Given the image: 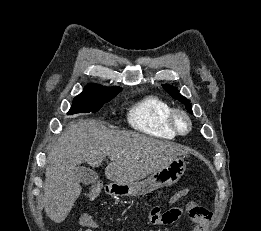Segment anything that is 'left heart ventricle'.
Returning <instances> with one entry per match:
<instances>
[{"label":"left heart ventricle","instance_id":"1","mask_svg":"<svg viewBox=\"0 0 261 231\" xmlns=\"http://www.w3.org/2000/svg\"><path fill=\"white\" fill-rule=\"evenodd\" d=\"M180 125H181V128H182V129H186V127H187V125H186V123H185L184 120H181V121H180Z\"/></svg>","mask_w":261,"mask_h":231}]
</instances>
